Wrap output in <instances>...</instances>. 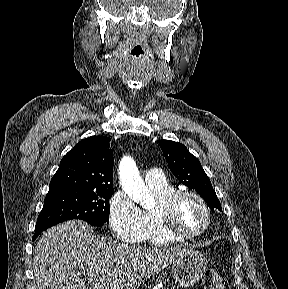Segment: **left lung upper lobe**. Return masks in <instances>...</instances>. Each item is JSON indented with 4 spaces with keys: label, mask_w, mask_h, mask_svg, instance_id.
Returning a JSON list of instances; mask_svg holds the SVG:
<instances>
[{
    "label": "left lung upper lobe",
    "mask_w": 288,
    "mask_h": 289,
    "mask_svg": "<svg viewBox=\"0 0 288 289\" xmlns=\"http://www.w3.org/2000/svg\"><path fill=\"white\" fill-rule=\"evenodd\" d=\"M159 145L165 159L178 180L185 186L195 189L211 209L222 211L212 184L199 160L180 143L160 140Z\"/></svg>",
    "instance_id": "1"
}]
</instances>
